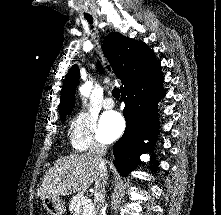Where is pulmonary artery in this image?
Returning a JSON list of instances; mask_svg holds the SVG:
<instances>
[{
  "label": "pulmonary artery",
  "instance_id": "e3ab8cb5",
  "mask_svg": "<svg viewBox=\"0 0 221 215\" xmlns=\"http://www.w3.org/2000/svg\"><path fill=\"white\" fill-rule=\"evenodd\" d=\"M115 103L113 101L112 98H106L104 101H103V107L105 109H112L114 107Z\"/></svg>",
  "mask_w": 221,
  "mask_h": 215
}]
</instances>
